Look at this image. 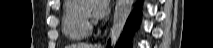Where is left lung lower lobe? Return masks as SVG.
<instances>
[{
    "instance_id": "left-lung-lower-lobe-1",
    "label": "left lung lower lobe",
    "mask_w": 213,
    "mask_h": 48,
    "mask_svg": "<svg viewBox=\"0 0 213 48\" xmlns=\"http://www.w3.org/2000/svg\"><path fill=\"white\" fill-rule=\"evenodd\" d=\"M142 0H138V5L133 11V13L129 16L124 32L119 40V44L117 48H130V39L134 33L136 24L139 23L140 20V3ZM108 46H110V41L108 42Z\"/></svg>"
}]
</instances>
